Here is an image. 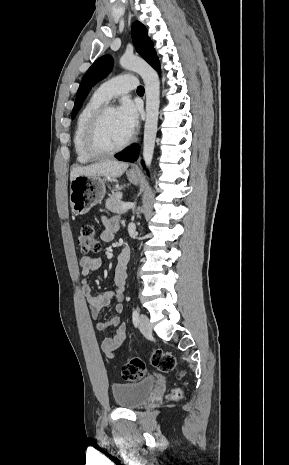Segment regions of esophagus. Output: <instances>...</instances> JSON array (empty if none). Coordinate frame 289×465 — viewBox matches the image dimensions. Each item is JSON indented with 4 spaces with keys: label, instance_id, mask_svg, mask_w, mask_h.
I'll return each instance as SVG.
<instances>
[{
    "label": "esophagus",
    "instance_id": "1",
    "mask_svg": "<svg viewBox=\"0 0 289 465\" xmlns=\"http://www.w3.org/2000/svg\"><path fill=\"white\" fill-rule=\"evenodd\" d=\"M139 168H138V162H135L132 166H131V171H137Z\"/></svg>",
    "mask_w": 289,
    "mask_h": 465
}]
</instances>
